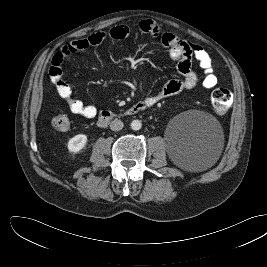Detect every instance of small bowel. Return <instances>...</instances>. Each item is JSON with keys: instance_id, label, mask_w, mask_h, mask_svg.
Listing matches in <instances>:
<instances>
[{"instance_id": "obj_1", "label": "small bowel", "mask_w": 267, "mask_h": 267, "mask_svg": "<svg viewBox=\"0 0 267 267\" xmlns=\"http://www.w3.org/2000/svg\"><path fill=\"white\" fill-rule=\"evenodd\" d=\"M132 32L150 34L157 38L162 47L168 51L170 59L176 62L177 70L180 75L178 78L167 82L158 94L143 100L150 107L166 97L188 91L199 83H201L205 90L212 89L217 85L218 80L214 73L213 62L205 49L171 33L161 32L153 20L145 19L140 21L135 29H131L126 25H116L107 32H95L86 38L72 41L63 46L54 55L49 70L50 80L55 86L58 95L66 101L72 113L85 118H93L97 113V109L95 106L87 105L83 101L73 97L72 88L63 79L62 66L65 59L90 46H97L107 38L123 41L127 39ZM193 59L199 63L200 68L204 72L202 80L192 69Z\"/></svg>"}]
</instances>
